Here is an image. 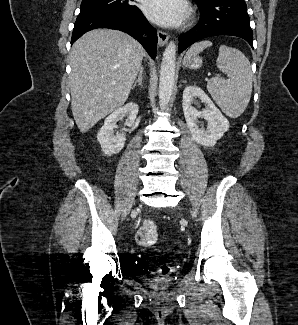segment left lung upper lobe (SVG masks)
Returning <instances> with one entry per match:
<instances>
[{
	"label": "left lung upper lobe",
	"mask_w": 298,
	"mask_h": 325,
	"mask_svg": "<svg viewBox=\"0 0 298 325\" xmlns=\"http://www.w3.org/2000/svg\"><path fill=\"white\" fill-rule=\"evenodd\" d=\"M194 2H196L197 4H204L205 2L209 1V0H193Z\"/></svg>",
	"instance_id": "5c2ea615"
}]
</instances>
